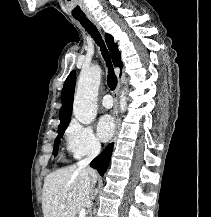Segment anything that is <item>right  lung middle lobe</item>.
<instances>
[{
    "mask_svg": "<svg viewBox=\"0 0 211 217\" xmlns=\"http://www.w3.org/2000/svg\"><path fill=\"white\" fill-rule=\"evenodd\" d=\"M66 128H67V126L58 129V136H57V138L55 140V145H54V149H53L54 155L57 154L60 138L63 136L64 131H65Z\"/></svg>",
    "mask_w": 211,
    "mask_h": 217,
    "instance_id": "dd1d6c3e",
    "label": "right lung middle lobe"
}]
</instances>
